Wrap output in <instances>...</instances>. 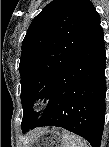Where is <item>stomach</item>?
Here are the masks:
<instances>
[{
	"instance_id": "stomach-1",
	"label": "stomach",
	"mask_w": 109,
	"mask_h": 147,
	"mask_svg": "<svg viewBox=\"0 0 109 147\" xmlns=\"http://www.w3.org/2000/svg\"><path fill=\"white\" fill-rule=\"evenodd\" d=\"M64 132L59 128H46L30 137L25 147H64Z\"/></svg>"
}]
</instances>
